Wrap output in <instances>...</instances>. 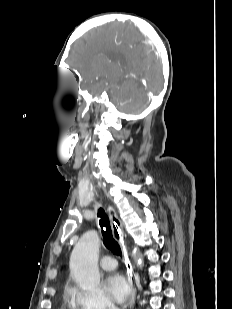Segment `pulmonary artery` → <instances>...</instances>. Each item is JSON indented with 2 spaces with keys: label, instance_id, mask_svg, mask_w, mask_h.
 <instances>
[{
  "label": "pulmonary artery",
  "instance_id": "obj_1",
  "mask_svg": "<svg viewBox=\"0 0 232 309\" xmlns=\"http://www.w3.org/2000/svg\"><path fill=\"white\" fill-rule=\"evenodd\" d=\"M100 266L104 270H113L116 267V260L112 256H104L100 261Z\"/></svg>",
  "mask_w": 232,
  "mask_h": 309
}]
</instances>
